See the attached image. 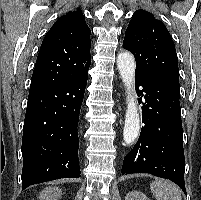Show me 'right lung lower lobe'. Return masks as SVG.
I'll list each match as a JSON object with an SVG mask.
<instances>
[{"mask_svg":"<svg viewBox=\"0 0 201 200\" xmlns=\"http://www.w3.org/2000/svg\"><path fill=\"white\" fill-rule=\"evenodd\" d=\"M88 70L57 86L29 93L21 148L22 190L80 177L77 127Z\"/></svg>","mask_w":201,"mask_h":200,"instance_id":"98d812e1","label":"right lung lower lobe"}]
</instances>
